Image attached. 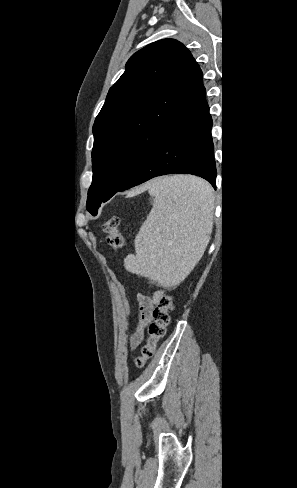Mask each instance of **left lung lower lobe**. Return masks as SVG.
Segmentation results:
<instances>
[{"instance_id":"1","label":"left lung lower lobe","mask_w":297,"mask_h":488,"mask_svg":"<svg viewBox=\"0 0 297 488\" xmlns=\"http://www.w3.org/2000/svg\"><path fill=\"white\" fill-rule=\"evenodd\" d=\"M211 128L212 119L207 106L169 135L118 191L172 173L200 176L216 188Z\"/></svg>"}]
</instances>
